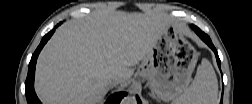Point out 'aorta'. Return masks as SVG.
<instances>
[{"label":"aorta","mask_w":252,"mask_h":104,"mask_svg":"<svg viewBox=\"0 0 252 104\" xmlns=\"http://www.w3.org/2000/svg\"><path fill=\"white\" fill-rule=\"evenodd\" d=\"M136 102V99L132 96H127L123 99L124 104H134Z\"/></svg>","instance_id":"obj_1"}]
</instances>
